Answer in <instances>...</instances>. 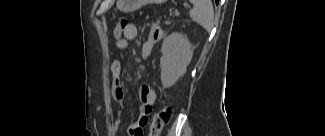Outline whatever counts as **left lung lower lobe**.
<instances>
[{
	"instance_id": "1",
	"label": "left lung lower lobe",
	"mask_w": 325,
	"mask_h": 136,
	"mask_svg": "<svg viewBox=\"0 0 325 136\" xmlns=\"http://www.w3.org/2000/svg\"><path fill=\"white\" fill-rule=\"evenodd\" d=\"M216 4H218V0H215Z\"/></svg>"
}]
</instances>
